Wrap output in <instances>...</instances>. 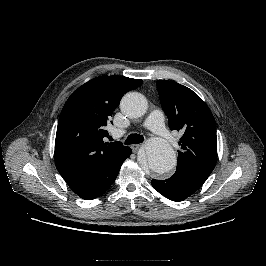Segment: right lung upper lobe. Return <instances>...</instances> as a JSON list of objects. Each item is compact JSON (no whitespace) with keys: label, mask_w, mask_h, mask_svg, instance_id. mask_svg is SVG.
I'll use <instances>...</instances> for the list:
<instances>
[{"label":"right lung upper lobe","mask_w":266,"mask_h":266,"mask_svg":"<svg viewBox=\"0 0 266 266\" xmlns=\"http://www.w3.org/2000/svg\"><path fill=\"white\" fill-rule=\"evenodd\" d=\"M141 83L124 76H100L72 93L61 111L55 139V165L64 179L116 160L128 148L104 142L105 127L122 96Z\"/></svg>","instance_id":"cb5924a9"}]
</instances>
